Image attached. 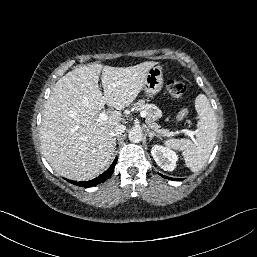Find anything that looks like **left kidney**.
<instances>
[{
    "mask_svg": "<svg viewBox=\"0 0 257 257\" xmlns=\"http://www.w3.org/2000/svg\"><path fill=\"white\" fill-rule=\"evenodd\" d=\"M151 154L160 168L165 171H173L178 161V155L167 147L154 145Z\"/></svg>",
    "mask_w": 257,
    "mask_h": 257,
    "instance_id": "left-kidney-1",
    "label": "left kidney"
}]
</instances>
